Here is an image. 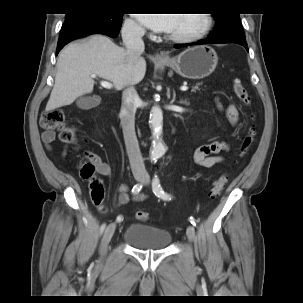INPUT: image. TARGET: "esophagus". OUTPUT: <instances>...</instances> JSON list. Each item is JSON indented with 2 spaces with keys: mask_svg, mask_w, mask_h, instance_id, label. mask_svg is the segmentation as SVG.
<instances>
[{
  "mask_svg": "<svg viewBox=\"0 0 303 303\" xmlns=\"http://www.w3.org/2000/svg\"><path fill=\"white\" fill-rule=\"evenodd\" d=\"M155 59H156V60H167L168 57L165 56V55H162V54H160V53H156V54H155Z\"/></svg>",
  "mask_w": 303,
  "mask_h": 303,
  "instance_id": "obj_1",
  "label": "esophagus"
}]
</instances>
